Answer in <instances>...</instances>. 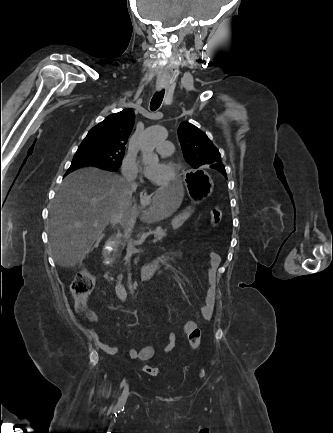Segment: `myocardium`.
Wrapping results in <instances>:
<instances>
[{
	"label": "myocardium",
	"instance_id": "1",
	"mask_svg": "<svg viewBox=\"0 0 333 433\" xmlns=\"http://www.w3.org/2000/svg\"><path fill=\"white\" fill-rule=\"evenodd\" d=\"M165 164L170 169V175L165 181L158 183V186L160 187H168L176 180L177 165L172 161H166Z\"/></svg>",
	"mask_w": 333,
	"mask_h": 433
}]
</instances>
